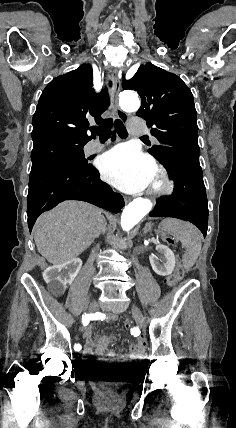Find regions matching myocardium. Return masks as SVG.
Instances as JSON below:
<instances>
[{
  "instance_id": "f54148a6",
  "label": "myocardium",
  "mask_w": 236,
  "mask_h": 428,
  "mask_svg": "<svg viewBox=\"0 0 236 428\" xmlns=\"http://www.w3.org/2000/svg\"><path fill=\"white\" fill-rule=\"evenodd\" d=\"M155 182L149 186L147 194L152 199H164L171 196L176 190V184L171 178L167 168L156 166L154 168Z\"/></svg>"
}]
</instances>
